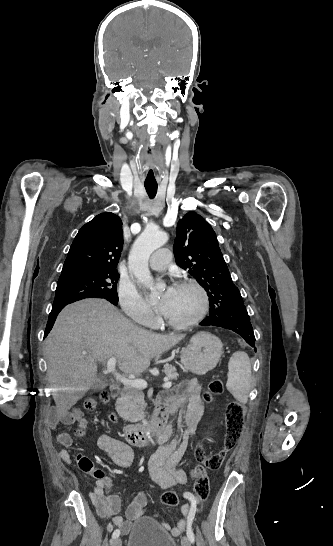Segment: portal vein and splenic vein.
I'll use <instances>...</instances> for the list:
<instances>
[{
    "label": "portal vein and splenic vein",
    "mask_w": 333,
    "mask_h": 546,
    "mask_svg": "<svg viewBox=\"0 0 333 546\" xmlns=\"http://www.w3.org/2000/svg\"><path fill=\"white\" fill-rule=\"evenodd\" d=\"M116 363L117 359L115 357H111L107 361V369L114 373V376L117 380H119L123 385L125 386H132L135 388H141L144 389L147 387V382L144 379L137 378V379H130L126 378L125 376L120 375L116 370ZM172 386V383L165 379V383L163 384V388H170Z\"/></svg>",
    "instance_id": "1"
}]
</instances>
